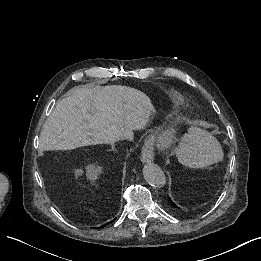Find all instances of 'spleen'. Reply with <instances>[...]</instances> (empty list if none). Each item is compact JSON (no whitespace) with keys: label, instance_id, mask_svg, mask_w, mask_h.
<instances>
[{"label":"spleen","instance_id":"3e777b00","mask_svg":"<svg viewBox=\"0 0 261 261\" xmlns=\"http://www.w3.org/2000/svg\"><path fill=\"white\" fill-rule=\"evenodd\" d=\"M177 153L180 162L191 168L206 167L223 159L217 140L198 128L182 137Z\"/></svg>","mask_w":261,"mask_h":261}]
</instances>
